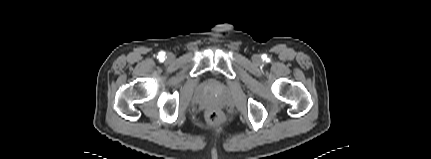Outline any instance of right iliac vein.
<instances>
[{
  "mask_svg": "<svg viewBox=\"0 0 431 159\" xmlns=\"http://www.w3.org/2000/svg\"><path fill=\"white\" fill-rule=\"evenodd\" d=\"M169 58L171 59V58H172V56H171V55H169Z\"/></svg>",
  "mask_w": 431,
  "mask_h": 159,
  "instance_id": "1",
  "label": "right iliac vein"
}]
</instances>
